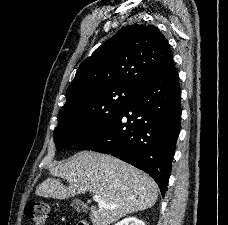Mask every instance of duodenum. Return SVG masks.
<instances>
[{
  "label": "duodenum",
  "instance_id": "1",
  "mask_svg": "<svg viewBox=\"0 0 228 225\" xmlns=\"http://www.w3.org/2000/svg\"><path fill=\"white\" fill-rule=\"evenodd\" d=\"M78 225H88V222L86 220L82 219L78 222Z\"/></svg>",
  "mask_w": 228,
  "mask_h": 225
}]
</instances>
